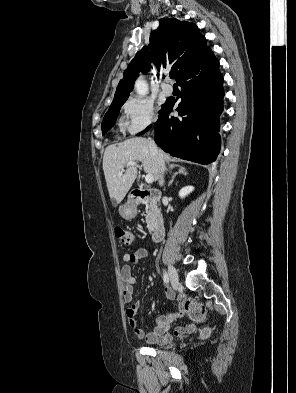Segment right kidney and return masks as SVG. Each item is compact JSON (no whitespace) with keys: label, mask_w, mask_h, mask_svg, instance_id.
<instances>
[{"label":"right kidney","mask_w":296,"mask_h":393,"mask_svg":"<svg viewBox=\"0 0 296 393\" xmlns=\"http://www.w3.org/2000/svg\"><path fill=\"white\" fill-rule=\"evenodd\" d=\"M194 190L193 186H185L179 191V196L184 198Z\"/></svg>","instance_id":"right-kidney-1"}]
</instances>
